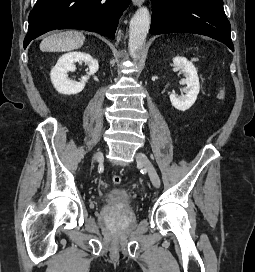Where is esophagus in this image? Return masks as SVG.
<instances>
[{
	"label": "esophagus",
	"mask_w": 255,
	"mask_h": 272,
	"mask_svg": "<svg viewBox=\"0 0 255 272\" xmlns=\"http://www.w3.org/2000/svg\"><path fill=\"white\" fill-rule=\"evenodd\" d=\"M134 5L140 6L141 4H143L144 0H132Z\"/></svg>",
	"instance_id": "1"
}]
</instances>
